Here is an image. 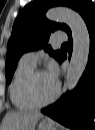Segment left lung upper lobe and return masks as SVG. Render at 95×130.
I'll use <instances>...</instances> for the list:
<instances>
[{
    "mask_svg": "<svg viewBox=\"0 0 95 130\" xmlns=\"http://www.w3.org/2000/svg\"><path fill=\"white\" fill-rule=\"evenodd\" d=\"M53 6L70 7L79 12L83 18L95 11L91 0H39L28 4L16 18L8 42L5 68L8 83L23 53L43 47L56 59L60 55V51H53L47 45L50 32L62 29L71 35V31L65 24L46 19L45 12Z\"/></svg>",
    "mask_w": 95,
    "mask_h": 130,
    "instance_id": "5c2ea615",
    "label": "left lung upper lobe"
}]
</instances>
